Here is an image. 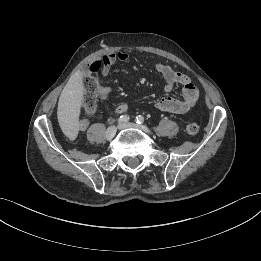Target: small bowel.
Wrapping results in <instances>:
<instances>
[{"instance_id":"1","label":"small bowel","mask_w":261,"mask_h":261,"mask_svg":"<svg viewBox=\"0 0 261 261\" xmlns=\"http://www.w3.org/2000/svg\"><path fill=\"white\" fill-rule=\"evenodd\" d=\"M128 59L129 55L123 51L113 52L104 55L102 59L98 61L101 64V76L106 77L109 74L111 67L117 61L126 62ZM155 68L164 78L165 84L163 90L166 93L172 92L176 85L182 86L181 98H174L170 96L162 97L156 101V109L163 112L182 114L186 113L196 105L199 97V91L187 75L173 70L169 65L162 62L156 63ZM110 91V88L107 86L100 85L98 87V94L100 96H107L110 93ZM127 110L128 105L121 104L115 109V113L117 115H121L126 113ZM87 127L88 122H85L80 125L81 130H85Z\"/></svg>"}]
</instances>
